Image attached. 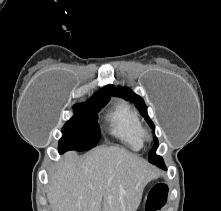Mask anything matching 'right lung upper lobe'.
Segmentation results:
<instances>
[{"instance_id":"1","label":"right lung upper lobe","mask_w":221,"mask_h":211,"mask_svg":"<svg viewBox=\"0 0 221 211\" xmlns=\"http://www.w3.org/2000/svg\"><path fill=\"white\" fill-rule=\"evenodd\" d=\"M113 92V85H108L96 93L92 98L110 97Z\"/></svg>"}]
</instances>
